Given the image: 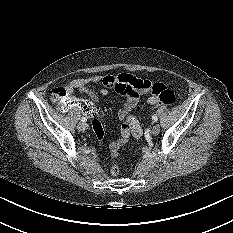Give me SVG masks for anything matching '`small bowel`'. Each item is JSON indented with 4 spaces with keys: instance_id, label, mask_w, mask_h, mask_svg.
Segmentation results:
<instances>
[{
    "instance_id": "obj_1",
    "label": "small bowel",
    "mask_w": 233,
    "mask_h": 233,
    "mask_svg": "<svg viewBox=\"0 0 233 233\" xmlns=\"http://www.w3.org/2000/svg\"><path fill=\"white\" fill-rule=\"evenodd\" d=\"M121 77L122 75L92 76L89 78L74 79L64 85V88L69 95H71L74 90H79L80 92L87 94L93 102H96L98 100V93L95 89L97 85L101 86V88L99 89V93L102 95H107L109 90H115L126 97L122 108L118 111V118L122 121V125L119 138L110 143V149L112 152L118 151L120 147L127 143L131 136L136 138L142 136V127L138 120L132 115V111L137 106L140 96L142 94L150 95L148 98V103L150 105L153 104V101L156 98L149 89V86L153 84L152 82L148 80L138 79L143 84H145L146 87L126 88L123 87V81Z\"/></svg>"
}]
</instances>
